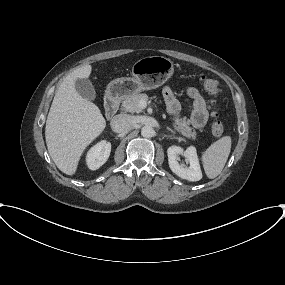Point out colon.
Instances as JSON below:
<instances>
[{
    "mask_svg": "<svg viewBox=\"0 0 285 285\" xmlns=\"http://www.w3.org/2000/svg\"><path fill=\"white\" fill-rule=\"evenodd\" d=\"M201 83L204 89L212 96L216 97L220 93L221 89L219 83L216 80L203 75L201 77ZM213 103L215 104V101ZM212 117L214 118V122L211 127V132L215 138H219L224 131L223 123L218 119V114L216 111L212 112Z\"/></svg>",
    "mask_w": 285,
    "mask_h": 285,
    "instance_id": "obj_1",
    "label": "colon"
}]
</instances>
